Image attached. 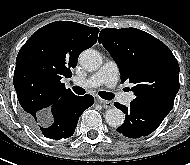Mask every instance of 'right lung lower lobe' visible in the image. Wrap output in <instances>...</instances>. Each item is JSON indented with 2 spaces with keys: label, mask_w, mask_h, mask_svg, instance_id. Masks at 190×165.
<instances>
[{
  "label": "right lung lower lobe",
  "mask_w": 190,
  "mask_h": 165,
  "mask_svg": "<svg viewBox=\"0 0 190 165\" xmlns=\"http://www.w3.org/2000/svg\"><path fill=\"white\" fill-rule=\"evenodd\" d=\"M94 103L92 95H71L57 100L37 116L25 114V121L38 135L60 140L74 134L81 114Z\"/></svg>",
  "instance_id": "1"
}]
</instances>
